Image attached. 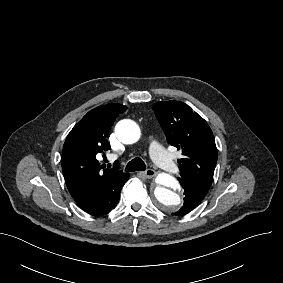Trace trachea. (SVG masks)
<instances>
[{
	"label": "trachea",
	"instance_id": "trachea-1",
	"mask_svg": "<svg viewBox=\"0 0 283 283\" xmlns=\"http://www.w3.org/2000/svg\"><path fill=\"white\" fill-rule=\"evenodd\" d=\"M146 169V165L142 159L136 157L132 159L126 165L125 171L126 172H134V171H144Z\"/></svg>",
	"mask_w": 283,
	"mask_h": 283
}]
</instances>
